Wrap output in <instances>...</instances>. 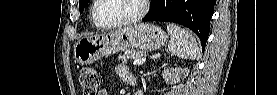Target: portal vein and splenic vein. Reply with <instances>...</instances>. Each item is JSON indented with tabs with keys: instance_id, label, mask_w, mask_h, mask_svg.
Masks as SVG:
<instances>
[{
	"instance_id": "1",
	"label": "portal vein and splenic vein",
	"mask_w": 277,
	"mask_h": 95,
	"mask_svg": "<svg viewBox=\"0 0 277 95\" xmlns=\"http://www.w3.org/2000/svg\"><path fill=\"white\" fill-rule=\"evenodd\" d=\"M146 61V57H140L134 60L133 65H141Z\"/></svg>"
}]
</instances>
